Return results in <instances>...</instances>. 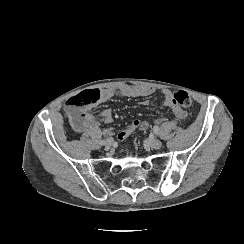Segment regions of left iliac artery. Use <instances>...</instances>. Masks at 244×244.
I'll return each instance as SVG.
<instances>
[{
  "label": "left iliac artery",
  "mask_w": 244,
  "mask_h": 244,
  "mask_svg": "<svg viewBox=\"0 0 244 244\" xmlns=\"http://www.w3.org/2000/svg\"><path fill=\"white\" fill-rule=\"evenodd\" d=\"M153 130H154L155 134H157V135L159 134V127L158 126H154Z\"/></svg>",
  "instance_id": "obj_1"
}]
</instances>
